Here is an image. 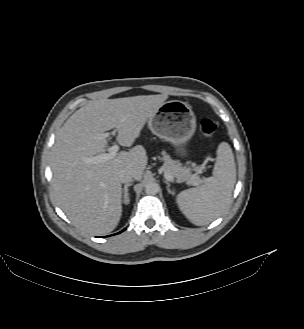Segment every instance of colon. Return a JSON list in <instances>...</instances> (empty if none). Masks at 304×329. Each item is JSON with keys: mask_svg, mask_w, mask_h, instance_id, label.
Returning a JSON list of instances; mask_svg holds the SVG:
<instances>
[{"mask_svg": "<svg viewBox=\"0 0 304 329\" xmlns=\"http://www.w3.org/2000/svg\"><path fill=\"white\" fill-rule=\"evenodd\" d=\"M216 126L214 122L208 118H204L200 121V131L206 138H211L214 135Z\"/></svg>", "mask_w": 304, "mask_h": 329, "instance_id": "5ec220e1", "label": "colon"}]
</instances>
